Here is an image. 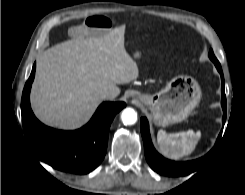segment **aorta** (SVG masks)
<instances>
[{"label":"aorta","instance_id":"1","mask_svg":"<svg viewBox=\"0 0 245 195\" xmlns=\"http://www.w3.org/2000/svg\"><path fill=\"white\" fill-rule=\"evenodd\" d=\"M121 119L124 125H133L137 121V113L132 108H126L121 114Z\"/></svg>","mask_w":245,"mask_h":195}]
</instances>
